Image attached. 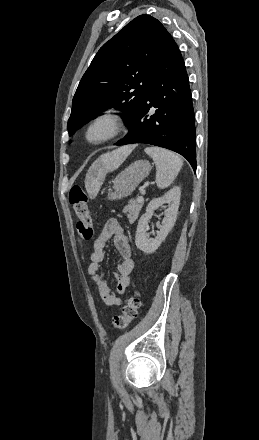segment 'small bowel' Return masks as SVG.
<instances>
[{
  "mask_svg": "<svg viewBox=\"0 0 259 440\" xmlns=\"http://www.w3.org/2000/svg\"><path fill=\"white\" fill-rule=\"evenodd\" d=\"M112 239L115 249L119 254L116 279V289L113 291L105 280L102 263L105 259V248L108 241ZM88 275L96 285L101 300L108 306H115L121 303V295L131 283V274L134 270L132 250L129 239L123 226L115 218H110L104 224L100 234L93 243V251L90 256Z\"/></svg>",
  "mask_w": 259,
  "mask_h": 440,
  "instance_id": "small-bowel-1",
  "label": "small bowel"
}]
</instances>
